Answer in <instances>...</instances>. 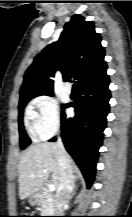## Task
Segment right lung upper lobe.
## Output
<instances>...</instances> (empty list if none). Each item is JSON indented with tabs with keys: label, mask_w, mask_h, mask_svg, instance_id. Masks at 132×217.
I'll use <instances>...</instances> for the list:
<instances>
[{
	"label": "right lung upper lobe",
	"mask_w": 132,
	"mask_h": 217,
	"mask_svg": "<svg viewBox=\"0 0 132 217\" xmlns=\"http://www.w3.org/2000/svg\"><path fill=\"white\" fill-rule=\"evenodd\" d=\"M105 50L94 24L80 15L65 24L60 39L48 45L27 69L20 89V99L53 94L56 70L63 79L76 80L77 86L98 82L108 75L104 61Z\"/></svg>",
	"instance_id": "1"
}]
</instances>
